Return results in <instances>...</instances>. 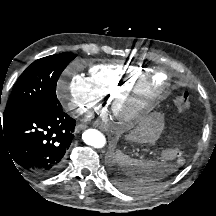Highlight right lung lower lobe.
Instances as JSON below:
<instances>
[{
	"mask_svg": "<svg viewBox=\"0 0 216 216\" xmlns=\"http://www.w3.org/2000/svg\"><path fill=\"white\" fill-rule=\"evenodd\" d=\"M75 120L60 103L0 120V153L36 177L57 174L74 137Z\"/></svg>",
	"mask_w": 216,
	"mask_h": 216,
	"instance_id": "right-lung-lower-lobe-1",
	"label": "right lung lower lobe"
}]
</instances>
